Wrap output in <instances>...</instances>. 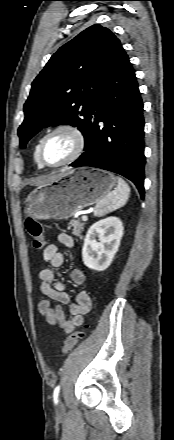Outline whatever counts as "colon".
I'll return each mask as SVG.
<instances>
[{"mask_svg": "<svg viewBox=\"0 0 174 440\" xmlns=\"http://www.w3.org/2000/svg\"><path fill=\"white\" fill-rule=\"evenodd\" d=\"M25 227L32 239L33 248L36 250L43 249L45 245V238H44V231L42 225L38 221L29 218L25 222ZM82 337H83L82 330H77L71 333L64 342L62 348L63 354L70 353Z\"/></svg>", "mask_w": 174, "mask_h": 440, "instance_id": "colon-1", "label": "colon"}]
</instances>
